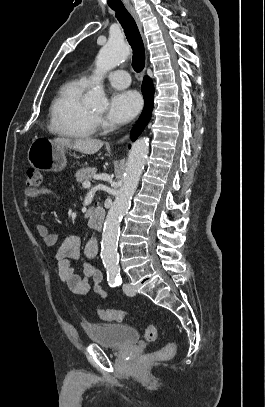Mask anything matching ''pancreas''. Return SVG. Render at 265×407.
Here are the masks:
<instances>
[{"mask_svg": "<svg viewBox=\"0 0 265 407\" xmlns=\"http://www.w3.org/2000/svg\"><path fill=\"white\" fill-rule=\"evenodd\" d=\"M96 174V169L92 167L82 168L75 174L76 180L80 183L83 181H89Z\"/></svg>", "mask_w": 265, "mask_h": 407, "instance_id": "1", "label": "pancreas"}]
</instances>
